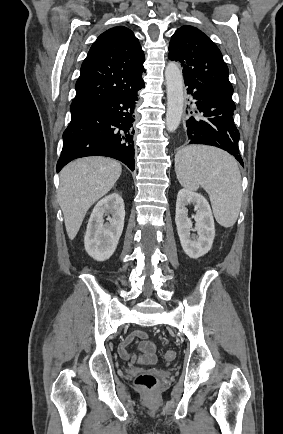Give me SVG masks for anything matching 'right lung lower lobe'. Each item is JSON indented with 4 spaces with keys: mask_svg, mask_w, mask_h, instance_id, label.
<instances>
[{
    "mask_svg": "<svg viewBox=\"0 0 283 434\" xmlns=\"http://www.w3.org/2000/svg\"><path fill=\"white\" fill-rule=\"evenodd\" d=\"M117 95L71 112V122L63 133V149L57 172L73 159L85 156L115 158L134 169V128L137 91Z\"/></svg>",
    "mask_w": 283,
    "mask_h": 434,
    "instance_id": "98d812e1",
    "label": "right lung lower lobe"
}]
</instances>
